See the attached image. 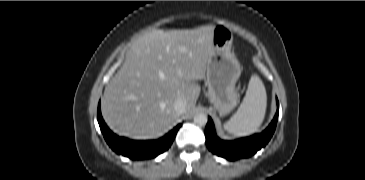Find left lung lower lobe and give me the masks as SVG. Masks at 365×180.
I'll return each mask as SVG.
<instances>
[{
  "label": "left lung lower lobe",
  "mask_w": 365,
  "mask_h": 180,
  "mask_svg": "<svg viewBox=\"0 0 365 180\" xmlns=\"http://www.w3.org/2000/svg\"><path fill=\"white\" fill-rule=\"evenodd\" d=\"M278 114L279 110L277 109L273 121L262 133L235 141L220 140L216 136L213 122L209 117L205 128L207 147L214 154L224 157L228 160L250 157L254 155L259 149L264 147L272 137L276 128Z\"/></svg>",
  "instance_id": "left-lung-lower-lobe-1"
}]
</instances>
